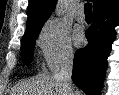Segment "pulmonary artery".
<instances>
[{
	"label": "pulmonary artery",
	"instance_id": "obj_1",
	"mask_svg": "<svg viewBox=\"0 0 119 95\" xmlns=\"http://www.w3.org/2000/svg\"><path fill=\"white\" fill-rule=\"evenodd\" d=\"M76 19L78 22H85V14L82 7H79L76 12Z\"/></svg>",
	"mask_w": 119,
	"mask_h": 95
}]
</instances>
